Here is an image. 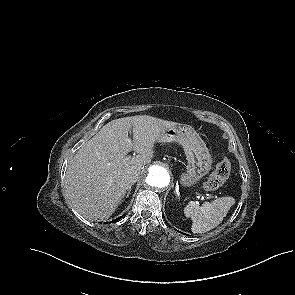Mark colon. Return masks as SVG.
<instances>
[{"mask_svg": "<svg viewBox=\"0 0 295 295\" xmlns=\"http://www.w3.org/2000/svg\"><path fill=\"white\" fill-rule=\"evenodd\" d=\"M231 172V164L228 159L223 158L215 167L214 172L204 183L207 191H213L221 187L228 179Z\"/></svg>", "mask_w": 295, "mask_h": 295, "instance_id": "5ec220e1", "label": "colon"}]
</instances>
